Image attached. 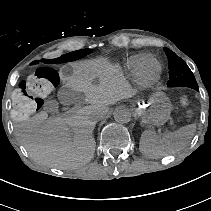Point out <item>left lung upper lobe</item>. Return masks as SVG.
I'll return each instance as SVG.
<instances>
[{
  "mask_svg": "<svg viewBox=\"0 0 211 211\" xmlns=\"http://www.w3.org/2000/svg\"><path fill=\"white\" fill-rule=\"evenodd\" d=\"M169 62V87H190L199 90L195 77L187 64L168 48H164Z\"/></svg>",
  "mask_w": 211,
  "mask_h": 211,
  "instance_id": "obj_1",
  "label": "left lung upper lobe"
}]
</instances>
